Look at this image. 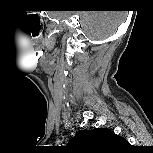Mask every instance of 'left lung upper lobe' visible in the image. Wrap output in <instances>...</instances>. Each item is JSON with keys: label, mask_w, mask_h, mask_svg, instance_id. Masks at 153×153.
<instances>
[{"label": "left lung upper lobe", "mask_w": 153, "mask_h": 153, "mask_svg": "<svg viewBox=\"0 0 153 153\" xmlns=\"http://www.w3.org/2000/svg\"><path fill=\"white\" fill-rule=\"evenodd\" d=\"M68 145L84 153H108L125 148L128 142L110 129L95 128L78 132Z\"/></svg>", "instance_id": "5c2ea615"}]
</instances>
